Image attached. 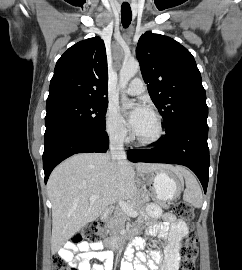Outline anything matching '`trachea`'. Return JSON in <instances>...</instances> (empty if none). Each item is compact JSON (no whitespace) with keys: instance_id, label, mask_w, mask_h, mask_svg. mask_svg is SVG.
<instances>
[{"instance_id":"3493384b","label":"trachea","mask_w":242,"mask_h":270,"mask_svg":"<svg viewBox=\"0 0 242 270\" xmlns=\"http://www.w3.org/2000/svg\"><path fill=\"white\" fill-rule=\"evenodd\" d=\"M121 20L124 28H127L132 20V12L129 5L121 6Z\"/></svg>"}]
</instances>
